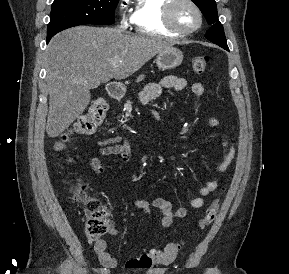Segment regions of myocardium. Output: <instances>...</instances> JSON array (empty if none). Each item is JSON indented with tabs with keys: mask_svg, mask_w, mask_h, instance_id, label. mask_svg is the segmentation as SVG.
<instances>
[{
	"mask_svg": "<svg viewBox=\"0 0 289 274\" xmlns=\"http://www.w3.org/2000/svg\"><path fill=\"white\" fill-rule=\"evenodd\" d=\"M188 3L196 12L198 23L190 29H182L176 25L173 18L174 8L178 3ZM163 23L167 29L179 36H189L197 32L203 24V13L198 4L194 0H169L163 10Z\"/></svg>",
	"mask_w": 289,
	"mask_h": 274,
	"instance_id": "1",
	"label": "myocardium"
}]
</instances>
